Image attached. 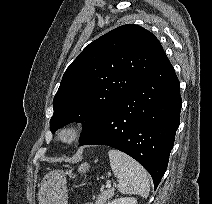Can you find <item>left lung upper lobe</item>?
I'll list each match as a JSON object with an SVG mask.
<instances>
[{
  "instance_id": "5c2ea615",
  "label": "left lung upper lobe",
  "mask_w": 212,
  "mask_h": 204,
  "mask_svg": "<svg viewBox=\"0 0 212 204\" xmlns=\"http://www.w3.org/2000/svg\"><path fill=\"white\" fill-rule=\"evenodd\" d=\"M166 58L158 39L134 24L91 42L69 65L53 100L50 130L81 122L82 142L104 114L133 91Z\"/></svg>"
}]
</instances>
